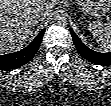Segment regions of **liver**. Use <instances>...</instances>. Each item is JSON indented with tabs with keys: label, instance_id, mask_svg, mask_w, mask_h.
<instances>
[{
	"label": "liver",
	"instance_id": "obj_1",
	"mask_svg": "<svg viewBox=\"0 0 111 106\" xmlns=\"http://www.w3.org/2000/svg\"><path fill=\"white\" fill-rule=\"evenodd\" d=\"M57 4L56 0H1L0 51L13 52L24 46L39 21H43ZM38 10L46 13L39 20Z\"/></svg>",
	"mask_w": 111,
	"mask_h": 106
}]
</instances>
